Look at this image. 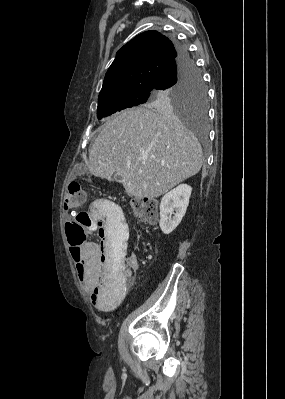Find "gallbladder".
Instances as JSON below:
<instances>
[{"mask_svg":"<svg viewBox=\"0 0 285 399\" xmlns=\"http://www.w3.org/2000/svg\"><path fill=\"white\" fill-rule=\"evenodd\" d=\"M121 178L118 174H115L114 177L111 179V181H117L120 182Z\"/></svg>","mask_w":285,"mask_h":399,"instance_id":"bac80fb5","label":"gallbladder"}]
</instances>
